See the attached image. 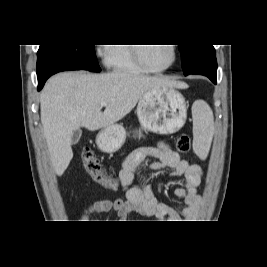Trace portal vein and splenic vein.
<instances>
[{"instance_id":"18ae733b","label":"portal vein and splenic vein","mask_w":267,"mask_h":267,"mask_svg":"<svg viewBox=\"0 0 267 267\" xmlns=\"http://www.w3.org/2000/svg\"><path fill=\"white\" fill-rule=\"evenodd\" d=\"M106 105H107V102H101V103H100V106H101V107H104V106H106Z\"/></svg>"}]
</instances>
